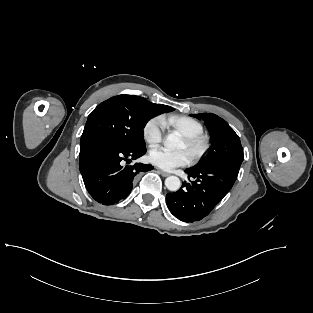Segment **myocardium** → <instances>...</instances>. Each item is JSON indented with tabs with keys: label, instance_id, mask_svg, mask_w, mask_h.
Segmentation results:
<instances>
[{
	"label": "myocardium",
	"instance_id": "myocardium-1",
	"mask_svg": "<svg viewBox=\"0 0 313 313\" xmlns=\"http://www.w3.org/2000/svg\"><path fill=\"white\" fill-rule=\"evenodd\" d=\"M183 140L186 143L188 150L190 151L192 162H198L201 160L210 147L208 137L203 134L184 137Z\"/></svg>",
	"mask_w": 313,
	"mask_h": 313
}]
</instances>
